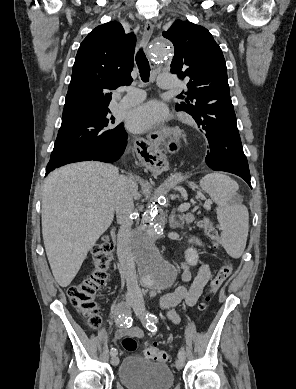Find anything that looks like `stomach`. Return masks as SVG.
I'll use <instances>...</instances> for the list:
<instances>
[{
    "mask_svg": "<svg viewBox=\"0 0 296 389\" xmlns=\"http://www.w3.org/2000/svg\"><path fill=\"white\" fill-rule=\"evenodd\" d=\"M149 173L151 176L159 179L162 176V169H149Z\"/></svg>",
    "mask_w": 296,
    "mask_h": 389,
    "instance_id": "stomach-1",
    "label": "stomach"
}]
</instances>
